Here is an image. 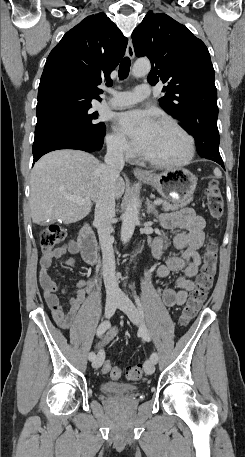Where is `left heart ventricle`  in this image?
<instances>
[{"instance_id":"b2bd125f","label":"left heart ventricle","mask_w":245,"mask_h":457,"mask_svg":"<svg viewBox=\"0 0 245 457\" xmlns=\"http://www.w3.org/2000/svg\"><path fill=\"white\" fill-rule=\"evenodd\" d=\"M185 144V140L178 133L158 127L149 143L141 151L158 159H178L184 154Z\"/></svg>"}]
</instances>
